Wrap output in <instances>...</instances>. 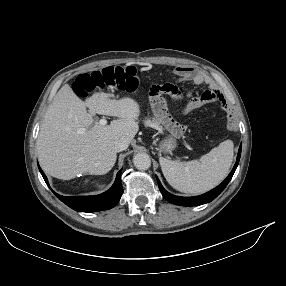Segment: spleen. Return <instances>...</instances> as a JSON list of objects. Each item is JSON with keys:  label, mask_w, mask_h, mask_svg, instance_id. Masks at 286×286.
<instances>
[{"label": "spleen", "mask_w": 286, "mask_h": 286, "mask_svg": "<svg viewBox=\"0 0 286 286\" xmlns=\"http://www.w3.org/2000/svg\"><path fill=\"white\" fill-rule=\"evenodd\" d=\"M233 160V142L226 140L200 160L179 163L160 157L167 182L176 190L201 194L217 186L229 173Z\"/></svg>", "instance_id": "spleen-1"}]
</instances>
